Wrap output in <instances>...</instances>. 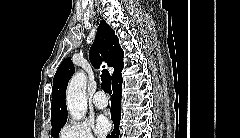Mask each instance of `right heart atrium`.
Listing matches in <instances>:
<instances>
[{
    "instance_id": "right-heart-atrium-1",
    "label": "right heart atrium",
    "mask_w": 240,
    "mask_h": 138,
    "mask_svg": "<svg viewBox=\"0 0 240 138\" xmlns=\"http://www.w3.org/2000/svg\"><path fill=\"white\" fill-rule=\"evenodd\" d=\"M60 138H94L90 124L85 121L69 120L61 129Z\"/></svg>"
}]
</instances>
